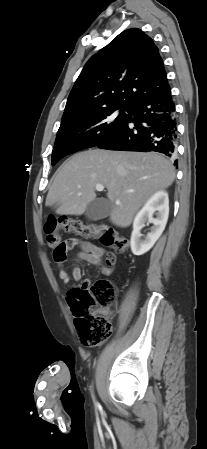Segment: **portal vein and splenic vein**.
<instances>
[{"label": "portal vein and splenic vein", "mask_w": 207, "mask_h": 449, "mask_svg": "<svg viewBox=\"0 0 207 449\" xmlns=\"http://www.w3.org/2000/svg\"><path fill=\"white\" fill-rule=\"evenodd\" d=\"M95 189L97 191H103L104 190V186L102 184H96ZM128 192H133L132 190L128 191Z\"/></svg>", "instance_id": "portal-vein-and-splenic-vein-1"}]
</instances>
